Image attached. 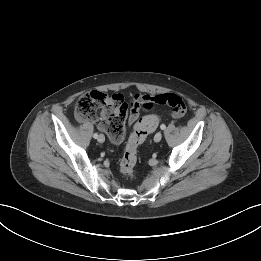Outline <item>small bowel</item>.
Masks as SVG:
<instances>
[{
    "label": "small bowel",
    "mask_w": 261,
    "mask_h": 261,
    "mask_svg": "<svg viewBox=\"0 0 261 261\" xmlns=\"http://www.w3.org/2000/svg\"><path fill=\"white\" fill-rule=\"evenodd\" d=\"M119 97H121L120 95H118ZM155 96H151L148 94L145 95H135L132 104H131V108H130V114L128 117V124L132 125L134 124L140 115V112L142 109H150L153 105V99ZM122 98V97H121Z\"/></svg>",
    "instance_id": "1"
}]
</instances>
